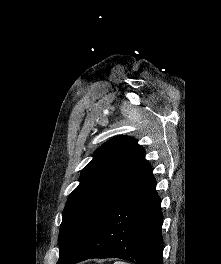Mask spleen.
I'll list each match as a JSON object with an SVG mask.
<instances>
[{
    "instance_id": "spleen-1",
    "label": "spleen",
    "mask_w": 221,
    "mask_h": 264,
    "mask_svg": "<svg viewBox=\"0 0 221 264\" xmlns=\"http://www.w3.org/2000/svg\"><path fill=\"white\" fill-rule=\"evenodd\" d=\"M114 264H127V263L122 262V261H116V262H114Z\"/></svg>"
}]
</instances>
